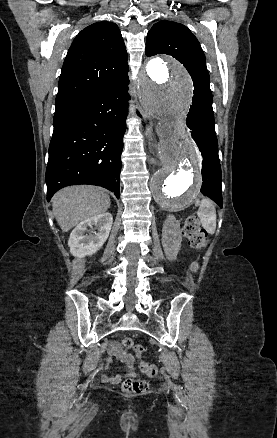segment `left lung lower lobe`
<instances>
[{"instance_id": "1", "label": "left lung lower lobe", "mask_w": 277, "mask_h": 438, "mask_svg": "<svg viewBox=\"0 0 277 438\" xmlns=\"http://www.w3.org/2000/svg\"><path fill=\"white\" fill-rule=\"evenodd\" d=\"M187 126L192 130V137L203 156L201 192L222 207V177L212 106L192 104Z\"/></svg>"}]
</instances>
